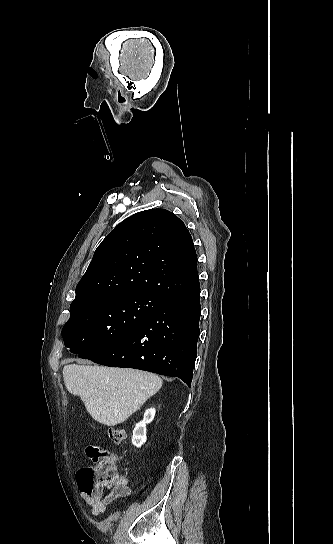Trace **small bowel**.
<instances>
[{"label":"small bowel","instance_id":"obj_1","mask_svg":"<svg viewBox=\"0 0 333 544\" xmlns=\"http://www.w3.org/2000/svg\"><path fill=\"white\" fill-rule=\"evenodd\" d=\"M80 494L90 506L91 514L94 517H98L105 513L106 507L110 502L119 497L129 496L131 490L128 487V479L126 477H120L119 483L110 488L107 493L104 492V488H97L93 491H87L81 488Z\"/></svg>","mask_w":333,"mask_h":544}]
</instances>
